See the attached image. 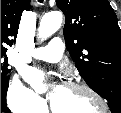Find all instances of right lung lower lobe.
<instances>
[{
    "mask_svg": "<svg viewBox=\"0 0 121 113\" xmlns=\"http://www.w3.org/2000/svg\"><path fill=\"white\" fill-rule=\"evenodd\" d=\"M5 96H6V92L1 94V112L9 113L10 110L6 105Z\"/></svg>",
    "mask_w": 121,
    "mask_h": 113,
    "instance_id": "right-lung-lower-lobe-1",
    "label": "right lung lower lobe"
}]
</instances>
